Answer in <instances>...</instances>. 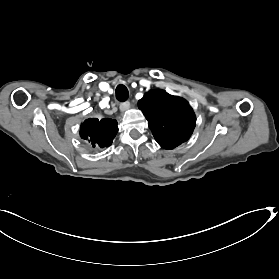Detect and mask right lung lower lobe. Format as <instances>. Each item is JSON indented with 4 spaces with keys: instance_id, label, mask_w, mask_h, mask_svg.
<instances>
[{
    "instance_id": "98d812e1",
    "label": "right lung lower lobe",
    "mask_w": 279,
    "mask_h": 279,
    "mask_svg": "<svg viewBox=\"0 0 279 279\" xmlns=\"http://www.w3.org/2000/svg\"><path fill=\"white\" fill-rule=\"evenodd\" d=\"M118 132L117 121L112 119H87L80 129V136L94 147H108Z\"/></svg>"
}]
</instances>
